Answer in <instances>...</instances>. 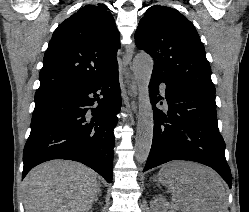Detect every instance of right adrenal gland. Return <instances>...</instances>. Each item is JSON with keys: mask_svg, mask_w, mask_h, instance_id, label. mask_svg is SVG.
Masks as SVG:
<instances>
[{"mask_svg": "<svg viewBox=\"0 0 249 212\" xmlns=\"http://www.w3.org/2000/svg\"><path fill=\"white\" fill-rule=\"evenodd\" d=\"M98 194H101V192H98ZM96 202H97V198H96L95 202H93V204H96Z\"/></svg>", "mask_w": 249, "mask_h": 212, "instance_id": "obj_1", "label": "right adrenal gland"}]
</instances>
